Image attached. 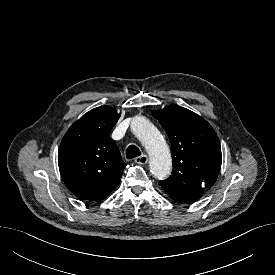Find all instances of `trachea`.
Returning <instances> with one entry per match:
<instances>
[{
    "instance_id": "obj_1",
    "label": "trachea",
    "mask_w": 275,
    "mask_h": 275,
    "mask_svg": "<svg viewBox=\"0 0 275 275\" xmlns=\"http://www.w3.org/2000/svg\"><path fill=\"white\" fill-rule=\"evenodd\" d=\"M141 155V151L135 145H130L126 150L127 159H132Z\"/></svg>"
}]
</instances>
